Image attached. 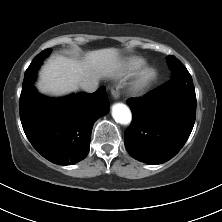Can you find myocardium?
<instances>
[{
  "mask_svg": "<svg viewBox=\"0 0 222 222\" xmlns=\"http://www.w3.org/2000/svg\"><path fill=\"white\" fill-rule=\"evenodd\" d=\"M154 76L155 71L152 67H143L136 78L135 89L137 91L143 90L153 80Z\"/></svg>",
  "mask_w": 222,
  "mask_h": 222,
  "instance_id": "myocardium-1",
  "label": "myocardium"
}]
</instances>
